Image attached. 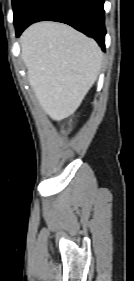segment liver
I'll list each match as a JSON object with an SVG mask.
<instances>
[{"label":"liver","instance_id":"obj_1","mask_svg":"<svg viewBox=\"0 0 134 281\" xmlns=\"http://www.w3.org/2000/svg\"><path fill=\"white\" fill-rule=\"evenodd\" d=\"M20 45L30 86L44 112L54 121L69 117L101 69L103 53L96 41L68 25L43 21L23 32Z\"/></svg>","mask_w":134,"mask_h":281}]
</instances>
